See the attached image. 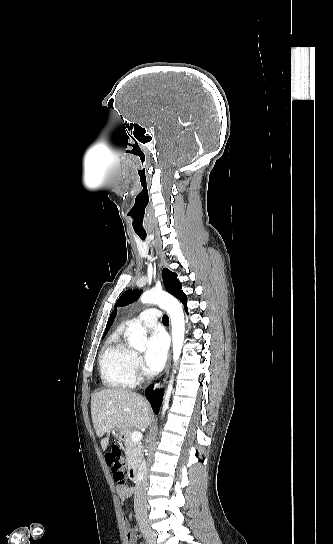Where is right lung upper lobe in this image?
Instances as JSON below:
<instances>
[{
  "instance_id": "cb5924a9",
  "label": "right lung upper lobe",
  "mask_w": 333,
  "mask_h": 544,
  "mask_svg": "<svg viewBox=\"0 0 333 544\" xmlns=\"http://www.w3.org/2000/svg\"><path fill=\"white\" fill-rule=\"evenodd\" d=\"M116 313H117V310H116V309H114V310H113V312L111 313L110 317H109V320H108V322H107V327H106V330H105L104 336H105V335L107 334V332H108V329H109V328H110V326L112 325V323H113V319L115 318V316H116ZM104 336H103V337H104Z\"/></svg>"
}]
</instances>
